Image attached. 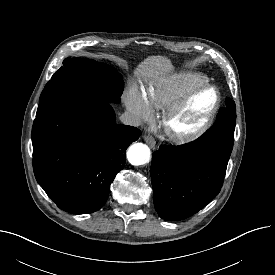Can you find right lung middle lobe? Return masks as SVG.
<instances>
[{"instance_id": "dd1d6c3e", "label": "right lung middle lobe", "mask_w": 275, "mask_h": 275, "mask_svg": "<svg viewBox=\"0 0 275 275\" xmlns=\"http://www.w3.org/2000/svg\"><path fill=\"white\" fill-rule=\"evenodd\" d=\"M123 87L114 68L91 59L66 58L42 91L36 117L68 97L119 102Z\"/></svg>"}]
</instances>
